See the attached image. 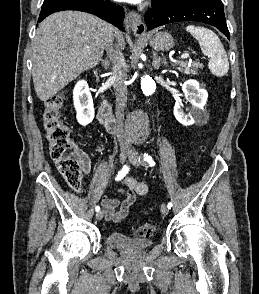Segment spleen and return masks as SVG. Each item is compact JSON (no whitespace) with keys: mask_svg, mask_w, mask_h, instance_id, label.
I'll use <instances>...</instances> for the list:
<instances>
[{"mask_svg":"<svg viewBox=\"0 0 259 294\" xmlns=\"http://www.w3.org/2000/svg\"><path fill=\"white\" fill-rule=\"evenodd\" d=\"M186 31L198 41L203 54L210 58L208 67L211 73L217 77L225 76L229 62L219 37L210 29L195 25H188Z\"/></svg>","mask_w":259,"mask_h":294,"instance_id":"obj_1","label":"spleen"}]
</instances>
